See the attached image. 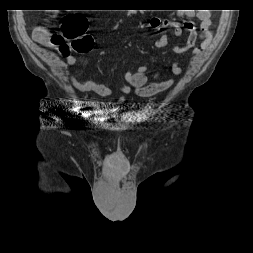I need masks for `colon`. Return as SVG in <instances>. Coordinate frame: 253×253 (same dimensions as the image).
Segmentation results:
<instances>
[{"instance_id":"colon-1","label":"colon","mask_w":253,"mask_h":253,"mask_svg":"<svg viewBox=\"0 0 253 253\" xmlns=\"http://www.w3.org/2000/svg\"><path fill=\"white\" fill-rule=\"evenodd\" d=\"M88 21L83 15L72 14L62 19L61 31L54 34L50 42L59 46L60 53L68 56L72 52L84 53L93 47V38L87 33Z\"/></svg>"}]
</instances>
